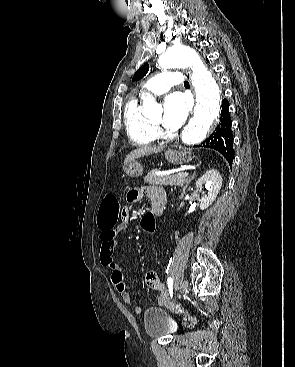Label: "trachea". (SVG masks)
<instances>
[{
	"label": "trachea",
	"mask_w": 295,
	"mask_h": 367,
	"mask_svg": "<svg viewBox=\"0 0 295 367\" xmlns=\"http://www.w3.org/2000/svg\"><path fill=\"white\" fill-rule=\"evenodd\" d=\"M184 86H185V87H189V82H188V81H185V82H184Z\"/></svg>",
	"instance_id": "3493384b"
}]
</instances>
